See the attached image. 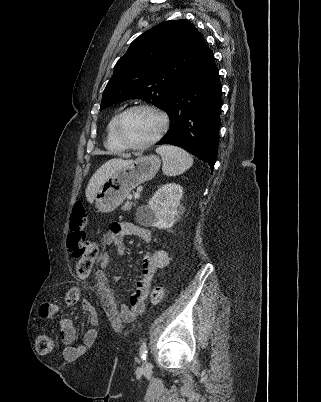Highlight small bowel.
<instances>
[{"mask_svg":"<svg viewBox=\"0 0 321 402\" xmlns=\"http://www.w3.org/2000/svg\"><path fill=\"white\" fill-rule=\"evenodd\" d=\"M126 236H134L139 238L146 244L152 243L151 231L143 228L133 222H115L108 231L105 242L107 245L113 246L118 255H124L126 247L124 238ZM169 253L165 250H155L144 254L141 261V275L136 283L134 292L131 295L129 304H122L120 307V317L123 322L131 323L145 311V299L148 296L151 280L154 273L166 267L169 263ZM109 263V255L104 254L98 263V267L94 269L93 275L96 282L105 288L110 287L109 279L104 272V268ZM142 301L138 303V300ZM83 311H93L95 305L93 302H83L81 305ZM61 306L54 302H44L39 307V315L43 319H49L61 312ZM90 327L95 329L98 322L93 320ZM59 332L64 344L63 354L65 359L74 360L83 358L84 353H88L89 347L95 346V330H84L82 344H74L75 328L71 321L62 319L59 322Z\"/></svg>","mask_w":321,"mask_h":402,"instance_id":"c3829d8e","label":"small bowel"}]
</instances>
